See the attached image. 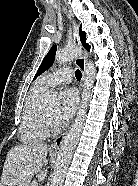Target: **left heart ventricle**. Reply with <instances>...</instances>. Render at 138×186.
Here are the masks:
<instances>
[{
	"label": "left heart ventricle",
	"mask_w": 138,
	"mask_h": 186,
	"mask_svg": "<svg viewBox=\"0 0 138 186\" xmlns=\"http://www.w3.org/2000/svg\"><path fill=\"white\" fill-rule=\"evenodd\" d=\"M46 108H47L48 117L51 123L54 126H57L56 121H55V113L58 109L57 105H47Z\"/></svg>",
	"instance_id": "left-heart-ventricle-1"
}]
</instances>
